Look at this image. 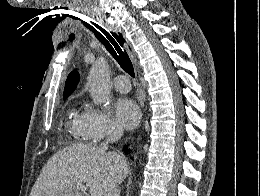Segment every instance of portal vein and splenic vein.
<instances>
[{"label":"portal vein and splenic vein","mask_w":260,"mask_h":196,"mask_svg":"<svg viewBox=\"0 0 260 196\" xmlns=\"http://www.w3.org/2000/svg\"><path fill=\"white\" fill-rule=\"evenodd\" d=\"M74 190H81V192H86V186H82V184H75V186H71Z\"/></svg>","instance_id":"18ae733b"}]
</instances>
